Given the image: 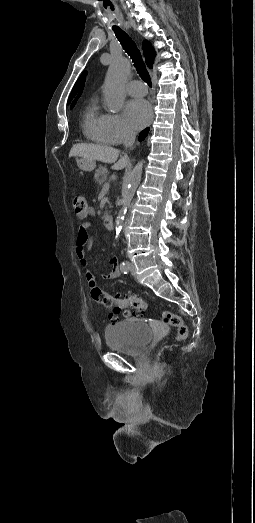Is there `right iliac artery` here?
<instances>
[{"label":"right iliac artery","mask_w":255,"mask_h":523,"mask_svg":"<svg viewBox=\"0 0 255 523\" xmlns=\"http://www.w3.org/2000/svg\"><path fill=\"white\" fill-rule=\"evenodd\" d=\"M120 269H121L122 273H124V274H127L128 271H129L128 265L126 263H124V262H122L120 264Z\"/></svg>","instance_id":"1"}]
</instances>
